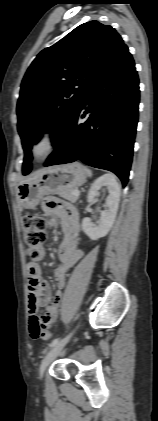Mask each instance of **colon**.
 <instances>
[{
  "instance_id": "1",
  "label": "colon",
  "mask_w": 158,
  "mask_h": 421,
  "mask_svg": "<svg viewBox=\"0 0 158 421\" xmlns=\"http://www.w3.org/2000/svg\"><path fill=\"white\" fill-rule=\"evenodd\" d=\"M24 240L27 246V253L31 258L37 254L39 247L46 240V220L40 214L26 213L22 219ZM34 338L49 339L51 332L47 328L34 331Z\"/></svg>"
}]
</instances>
